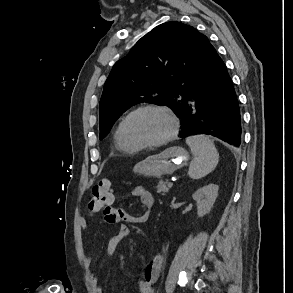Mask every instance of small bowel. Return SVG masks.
I'll list each match as a JSON object with an SVG mask.
<instances>
[{"label":"small bowel","mask_w":293,"mask_h":293,"mask_svg":"<svg viewBox=\"0 0 293 293\" xmlns=\"http://www.w3.org/2000/svg\"><path fill=\"white\" fill-rule=\"evenodd\" d=\"M131 196L138 198L144 205L146 211L142 215H132L122 209L115 208L113 206V201L111 206L105 210L104 218L108 223H120L118 232L110 238L106 246V253L108 256H113L117 250L119 243L126 238L130 233L129 223H142L146 222L154 207V199L151 193L144 187H135ZM81 227L86 235H88V225L85 221L81 223ZM84 260L88 267L92 264V254L91 252L84 253ZM164 262V257L162 254H157L153 259L145 266L141 277L138 280V286L140 293H155L154 284L157 281L162 266ZM91 282L98 293H103V288L98 283V278L95 275H91Z\"/></svg>","instance_id":"small-bowel-1"}]
</instances>
